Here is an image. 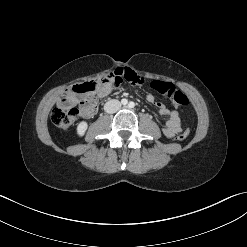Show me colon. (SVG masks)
Wrapping results in <instances>:
<instances>
[{
	"mask_svg": "<svg viewBox=\"0 0 247 247\" xmlns=\"http://www.w3.org/2000/svg\"><path fill=\"white\" fill-rule=\"evenodd\" d=\"M127 80L135 84L143 83V79L138 76H130ZM121 82L122 80L112 73L97 82L90 81L75 85L68 94L60 98L58 105L53 109L51 113L53 124L65 131L71 129L80 116L78 108L74 105L76 94L85 95L83 102L90 106L96 103L95 93L103 85L113 83L119 86ZM150 85L159 94L167 96L176 106H186L189 102L187 96L169 82L155 80ZM189 133V130H185L178 134L177 139L183 141L189 136Z\"/></svg>",
	"mask_w": 247,
	"mask_h": 247,
	"instance_id": "1",
	"label": "colon"
}]
</instances>
